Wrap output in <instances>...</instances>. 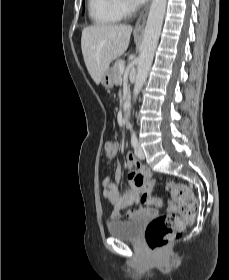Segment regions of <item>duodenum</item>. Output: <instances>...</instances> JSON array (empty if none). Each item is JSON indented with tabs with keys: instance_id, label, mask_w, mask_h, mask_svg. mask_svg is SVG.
I'll use <instances>...</instances> for the list:
<instances>
[{
	"instance_id": "1",
	"label": "duodenum",
	"mask_w": 229,
	"mask_h": 280,
	"mask_svg": "<svg viewBox=\"0 0 229 280\" xmlns=\"http://www.w3.org/2000/svg\"><path fill=\"white\" fill-rule=\"evenodd\" d=\"M123 123L126 126H130V107L129 100L126 98L124 101V109H123Z\"/></svg>"
}]
</instances>
